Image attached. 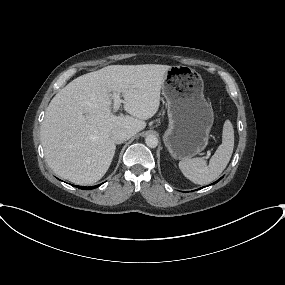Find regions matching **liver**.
Masks as SVG:
<instances>
[{
	"instance_id": "liver-1",
	"label": "liver",
	"mask_w": 285,
	"mask_h": 285,
	"mask_svg": "<svg viewBox=\"0 0 285 285\" xmlns=\"http://www.w3.org/2000/svg\"><path fill=\"white\" fill-rule=\"evenodd\" d=\"M171 66L110 65L84 74L62 88L47 107L41 142L50 168L63 179L89 185L107 172L116 145L111 132L134 136L160 106L164 75ZM122 94L124 110L112 113V94Z\"/></svg>"
}]
</instances>
